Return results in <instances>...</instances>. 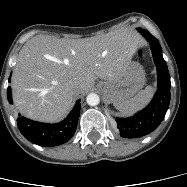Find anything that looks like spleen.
<instances>
[{
  "instance_id": "obj_1",
  "label": "spleen",
  "mask_w": 187,
  "mask_h": 187,
  "mask_svg": "<svg viewBox=\"0 0 187 187\" xmlns=\"http://www.w3.org/2000/svg\"><path fill=\"white\" fill-rule=\"evenodd\" d=\"M153 94L154 88L152 86H147L133 98L115 103L114 106L120 113L131 115L146 106L151 100Z\"/></svg>"
}]
</instances>
